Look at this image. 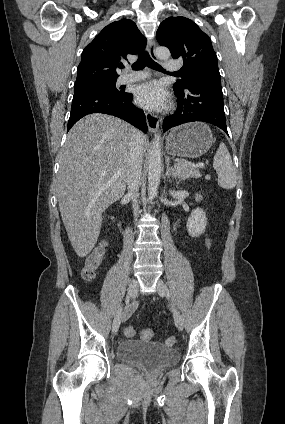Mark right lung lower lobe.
Listing matches in <instances>:
<instances>
[{"mask_svg":"<svg viewBox=\"0 0 285 424\" xmlns=\"http://www.w3.org/2000/svg\"><path fill=\"white\" fill-rule=\"evenodd\" d=\"M90 113H104L119 117L147 132L145 114L132 104V94H110L100 91L74 93L67 131L83 116Z\"/></svg>","mask_w":285,"mask_h":424,"instance_id":"right-lung-lower-lobe-1","label":"right lung lower lobe"}]
</instances>
